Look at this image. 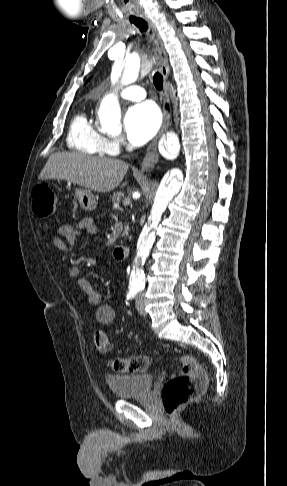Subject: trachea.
<instances>
[{"label":"trachea","instance_id":"obj_1","mask_svg":"<svg viewBox=\"0 0 287 486\" xmlns=\"http://www.w3.org/2000/svg\"><path fill=\"white\" fill-rule=\"evenodd\" d=\"M131 22L134 23L141 31L147 30V24L144 20L136 19L132 20ZM153 83L158 90H161L163 88V77L159 72H156L154 74Z\"/></svg>","mask_w":287,"mask_h":486}]
</instances>
